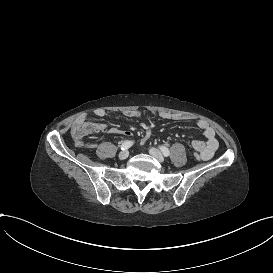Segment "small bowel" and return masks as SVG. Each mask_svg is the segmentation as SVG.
<instances>
[{
	"label": "small bowel",
	"instance_id": "small-bowel-1",
	"mask_svg": "<svg viewBox=\"0 0 273 273\" xmlns=\"http://www.w3.org/2000/svg\"><path fill=\"white\" fill-rule=\"evenodd\" d=\"M94 115L97 118L107 119L111 117V112L105 109H96L94 111ZM124 117L128 119L138 118L143 115L142 112L136 110H126L123 113ZM156 117H159L164 120H171V121H180V122H190L194 121L196 126L202 131L204 140L208 144V149L205 153L199 154V156L203 160H210L215 152L218 149V140L216 138L215 130L212 126H210L205 120L203 119H194L190 114L187 113H170V112H158L153 114ZM93 131L97 135L102 134H119L124 136H130L131 131L128 129H117V128H108L104 123L97 122L93 126ZM77 145L79 146H86L89 147L91 144H85L80 141H76Z\"/></svg>",
	"mask_w": 273,
	"mask_h": 273
}]
</instances>
